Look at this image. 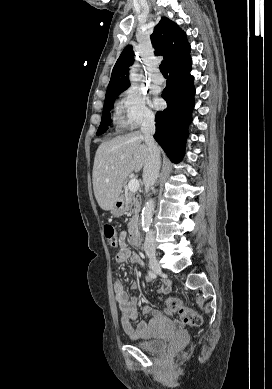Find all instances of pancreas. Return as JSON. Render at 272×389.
<instances>
[{
  "label": "pancreas",
  "instance_id": "pancreas-1",
  "mask_svg": "<svg viewBox=\"0 0 272 389\" xmlns=\"http://www.w3.org/2000/svg\"><path fill=\"white\" fill-rule=\"evenodd\" d=\"M125 200V210L131 212L133 217L128 223L129 231L137 226L138 214L141 208V203L139 202L136 193L127 191L124 195Z\"/></svg>",
  "mask_w": 272,
  "mask_h": 389
}]
</instances>
